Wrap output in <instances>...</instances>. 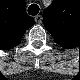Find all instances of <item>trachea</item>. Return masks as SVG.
<instances>
[{
	"label": "trachea",
	"instance_id": "trachea-1",
	"mask_svg": "<svg viewBox=\"0 0 80 80\" xmlns=\"http://www.w3.org/2000/svg\"><path fill=\"white\" fill-rule=\"evenodd\" d=\"M39 6L36 5V4H31L29 7H28V14L29 15H32V16H35L39 13Z\"/></svg>",
	"mask_w": 80,
	"mask_h": 80
}]
</instances>
